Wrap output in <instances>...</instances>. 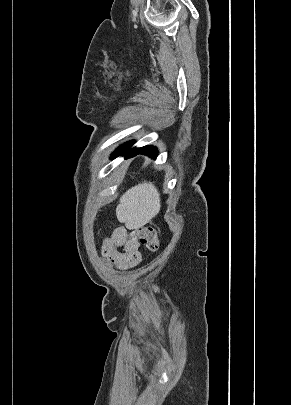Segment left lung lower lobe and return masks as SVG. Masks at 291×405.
<instances>
[{
	"label": "left lung lower lobe",
	"mask_w": 291,
	"mask_h": 405,
	"mask_svg": "<svg viewBox=\"0 0 291 405\" xmlns=\"http://www.w3.org/2000/svg\"><path fill=\"white\" fill-rule=\"evenodd\" d=\"M133 145V141L127 142L124 146H120L116 152L113 153L112 157H117L119 155L125 154L127 157H133L137 154H144L151 158H156L158 155V151L156 147L153 146H145L141 148H133L130 147Z\"/></svg>",
	"instance_id": "left-lung-lower-lobe-1"
}]
</instances>
